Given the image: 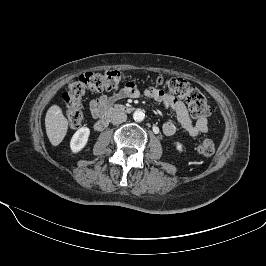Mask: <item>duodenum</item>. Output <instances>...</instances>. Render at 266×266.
<instances>
[{
	"mask_svg": "<svg viewBox=\"0 0 266 266\" xmlns=\"http://www.w3.org/2000/svg\"><path fill=\"white\" fill-rule=\"evenodd\" d=\"M132 111L133 108L130 106L123 104H111L104 109L102 115L95 123V128L96 130L101 131L107 127L112 116L119 113H130Z\"/></svg>",
	"mask_w": 266,
	"mask_h": 266,
	"instance_id": "duodenum-1",
	"label": "duodenum"
}]
</instances>
